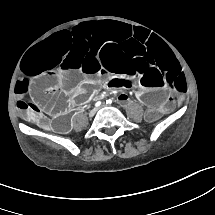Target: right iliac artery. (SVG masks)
<instances>
[{
    "label": "right iliac artery",
    "instance_id": "82829eb1",
    "mask_svg": "<svg viewBox=\"0 0 215 215\" xmlns=\"http://www.w3.org/2000/svg\"><path fill=\"white\" fill-rule=\"evenodd\" d=\"M100 105H101V102H100V101L97 102V103L95 104L96 107H98V106H100Z\"/></svg>",
    "mask_w": 215,
    "mask_h": 215
}]
</instances>
